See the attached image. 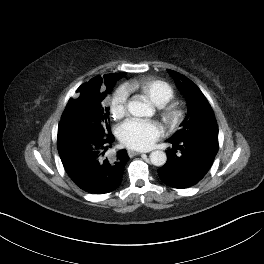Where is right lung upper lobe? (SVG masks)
<instances>
[{"instance_id":"right-lung-upper-lobe-1","label":"right lung upper lobe","mask_w":264,"mask_h":264,"mask_svg":"<svg viewBox=\"0 0 264 264\" xmlns=\"http://www.w3.org/2000/svg\"><path fill=\"white\" fill-rule=\"evenodd\" d=\"M123 76H125L124 73L107 74V75H104L103 77L97 76V77L91 79L89 82L84 83L83 85H81L77 89V92L79 95L78 98L84 97L88 93L96 92L100 88L109 85L110 83L114 82L115 80L117 81V80L121 79ZM75 100L76 99H70L68 103L75 101ZM63 114H64V112H63Z\"/></svg>"}]
</instances>
